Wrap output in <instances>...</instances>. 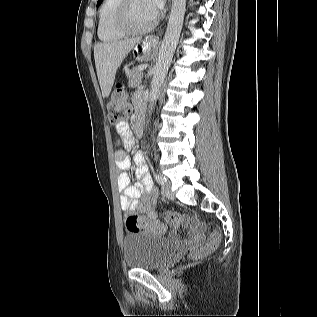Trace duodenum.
<instances>
[{
	"instance_id": "duodenum-1",
	"label": "duodenum",
	"mask_w": 317,
	"mask_h": 317,
	"mask_svg": "<svg viewBox=\"0 0 317 317\" xmlns=\"http://www.w3.org/2000/svg\"><path fill=\"white\" fill-rule=\"evenodd\" d=\"M136 132L138 136H141L143 133V128L139 121L136 122Z\"/></svg>"
}]
</instances>
